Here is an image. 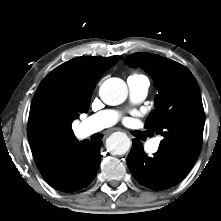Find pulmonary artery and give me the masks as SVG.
Listing matches in <instances>:
<instances>
[{"mask_svg": "<svg viewBox=\"0 0 221 221\" xmlns=\"http://www.w3.org/2000/svg\"><path fill=\"white\" fill-rule=\"evenodd\" d=\"M129 96L132 103L142 102L150 86L148 78L144 75H131L127 79ZM120 118V113L116 110L107 109L90 116L85 124L87 133H94L102 129L113 126ZM159 147V140L154 139L145 144V149L150 153H155Z\"/></svg>", "mask_w": 221, "mask_h": 221, "instance_id": "e3ab8cb5", "label": "pulmonary artery"}]
</instances>
